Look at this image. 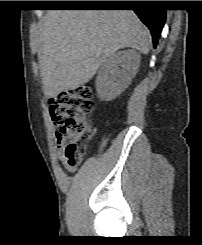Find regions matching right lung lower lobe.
I'll list each match as a JSON object with an SVG mask.
<instances>
[{
  "mask_svg": "<svg viewBox=\"0 0 202 245\" xmlns=\"http://www.w3.org/2000/svg\"><path fill=\"white\" fill-rule=\"evenodd\" d=\"M135 8L134 12L140 20L149 28L154 48H156L158 39L161 35L162 28L165 23L166 13L164 9L153 8L150 1H135L132 4ZM80 6H108L98 3H83Z\"/></svg>",
  "mask_w": 202,
  "mask_h": 245,
  "instance_id": "98d812e1",
  "label": "right lung lower lobe"
}]
</instances>
